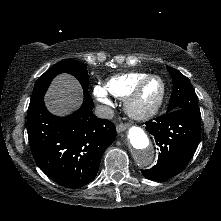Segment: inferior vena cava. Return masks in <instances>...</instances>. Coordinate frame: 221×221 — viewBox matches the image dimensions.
Segmentation results:
<instances>
[{
  "instance_id": "602c4592",
  "label": "inferior vena cava",
  "mask_w": 221,
  "mask_h": 221,
  "mask_svg": "<svg viewBox=\"0 0 221 221\" xmlns=\"http://www.w3.org/2000/svg\"><path fill=\"white\" fill-rule=\"evenodd\" d=\"M95 115L99 118L112 119L114 111L111 107L106 105H98L94 111Z\"/></svg>"
}]
</instances>
